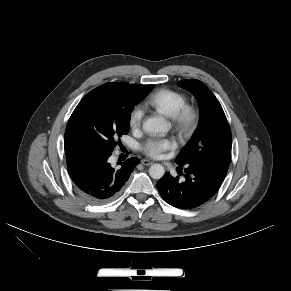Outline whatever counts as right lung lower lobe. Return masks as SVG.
Masks as SVG:
<instances>
[{"instance_id": "1", "label": "right lung lower lobe", "mask_w": 291, "mask_h": 291, "mask_svg": "<svg viewBox=\"0 0 291 291\" xmlns=\"http://www.w3.org/2000/svg\"><path fill=\"white\" fill-rule=\"evenodd\" d=\"M112 151L76 148L66 152L67 169L78 194L90 203H103L116 197L139 159L133 157L114 168L108 162Z\"/></svg>"}]
</instances>
